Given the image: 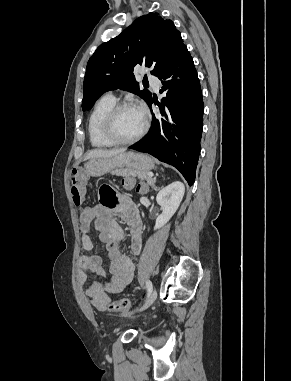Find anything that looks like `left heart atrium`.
<instances>
[{
    "instance_id": "obj_1",
    "label": "left heart atrium",
    "mask_w": 291,
    "mask_h": 381,
    "mask_svg": "<svg viewBox=\"0 0 291 381\" xmlns=\"http://www.w3.org/2000/svg\"><path fill=\"white\" fill-rule=\"evenodd\" d=\"M136 108L138 109V111L140 112V114H141L143 117H145V115H146V110H145L144 106L141 105V104H139V105L136 106Z\"/></svg>"
}]
</instances>
